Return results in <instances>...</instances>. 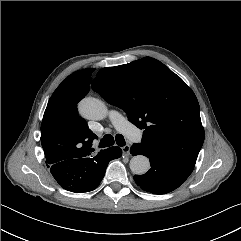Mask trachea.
Returning <instances> with one entry per match:
<instances>
[{
  "instance_id": "trachea-1",
  "label": "trachea",
  "mask_w": 241,
  "mask_h": 241,
  "mask_svg": "<svg viewBox=\"0 0 241 241\" xmlns=\"http://www.w3.org/2000/svg\"><path fill=\"white\" fill-rule=\"evenodd\" d=\"M115 141H116L117 145H119V146H125L126 145L125 139L121 134H117L115 136V140H114V137L112 135L106 134L100 141V147L112 146Z\"/></svg>"
}]
</instances>
